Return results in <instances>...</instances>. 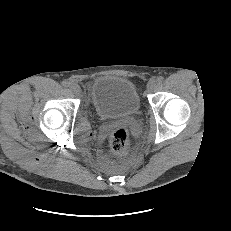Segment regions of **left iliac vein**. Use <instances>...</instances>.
I'll use <instances>...</instances> for the list:
<instances>
[{
	"mask_svg": "<svg viewBox=\"0 0 231 231\" xmlns=\"http://www.w3.org/2000/svg\"><path fill=\"white\" fill-rule=\"evenodd\" d=\"M156 87V81L154 79H150L147 83V90L152 91Z\"/></svg>",
	"mask_w": 231,
	"mask_h": 231,
	"instance_id": "left-iliac-vein-1",
	"label": "left iliac vein"
}]
</instances>
